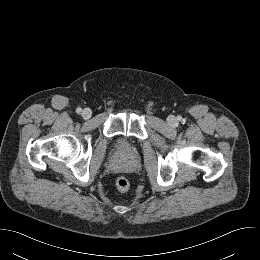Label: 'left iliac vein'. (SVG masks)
Returning <instances> with one entry per match:
<instances>
[{
  "instance_id": "left-iliac-vein-1",
  "label": "left iliac vein",
  "mask_w": 260,
  "mask_h": 260,
  "mask_svg": "<svg viewBox=\"0 0 260 260\" xmlns=\"http://www.w3.org/2000/svg\"><path fill=\"white\" fill-rule=\"evenodd\" d=\"M168 121H169V124H171V125H174L176 123V119L173 116L169 117Z\"/></svg>"
}]
</instances>
